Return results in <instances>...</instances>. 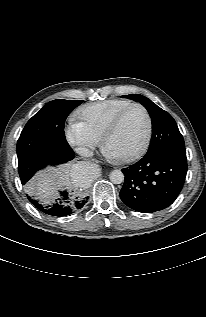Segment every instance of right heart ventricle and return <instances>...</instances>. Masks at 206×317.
<instances>
[{
    "instance_id": "obj_1",
    "label": "right heart ventricle",
    "mask_w": 206,
    "mask_h": 317,
    "mask_svg": "<svg viewBox=\"0 0 206 317\" xmlns=\"http://www.w3.org/2000/svg\"><path fill=\"white\" fill-rule=\"evenodd\" d=\"M130 104L125 99H108L85 105L77 114L94 135L101 137L113 117Z\"/></svg>"
}]
</instances>
